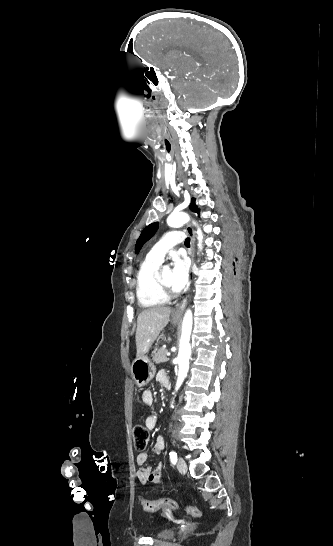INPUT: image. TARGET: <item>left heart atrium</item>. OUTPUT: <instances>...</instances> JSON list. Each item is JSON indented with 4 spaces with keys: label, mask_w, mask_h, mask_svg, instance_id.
<instances>
[{
    "label": "left heart atrium",
    "mask_w": 333,
    "mask_h": 546,
    "mask_svg": "<svg viewBox=\"0 0 333 546\" xmlns=\"http://www.w3.org/2000/svg\"><path fill=\"white\" fill-rule=\"evenodd\" d=\"M172 288L181 291L188 281V263L185 258L178 255L173 257Z\"/></svg>",
    "instance_id": "39dd6f15"
}]
</instances>
